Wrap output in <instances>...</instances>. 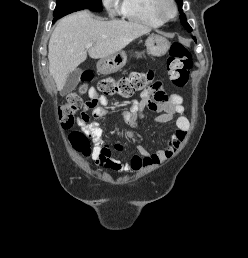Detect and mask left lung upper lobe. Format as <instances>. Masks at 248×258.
Listing matches in <instances>:
<instances>
[{
    "label": "left lung upper lobe",
    "instance_id": "1",
    "mask_svg": "<svg viewBox=\"0 0 248 258\" xmlns=\"http://www.w3.org/2000/svg\"><path fill=\"white\" fill-rule=\"evenodd\" d=\"M176 2L179 4V9H180V19H181V22L182 24L184 25V27L188 30V32H191L192 31V28L189 26V24L187 23L186 21V18H185V15L182 11V0H176Z\"/></svg>",
    "mask_w": 248,
    "mask_h": 258
}]
</instances>
